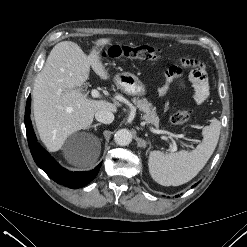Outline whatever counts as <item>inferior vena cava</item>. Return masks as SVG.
Returning <instances> with one entry per match:
<instances>
[{
    "label": "inferior vena cava",
    "instance_id": "obj_1",
    "mask_svg": "<svg viewBox=\"0 0 247 247\" xmlns=\"http://www.w3.org/2000/svg\"><path fill=\"white\" fill-rule=\"evenodd\" d=\"M95 118L97 121L104 123V124H110L114 120V115L112 112L108 110H98L95 113Z\"/></svg>",
    "mask_w": 247,
    "mask_h": 247
}]
</instances>
